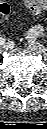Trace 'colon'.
I'll return each mask as SVG.
<instances>
[{
	"label": "colon",
	"mask_w": 47,
	"mask_h": 129,
	"mask_svg": "<svg viewBox=\"0 0 47 129\" xmlns=\"http://www.w3.org/2000/svg\"><path fill=\"white\" fill-rule=\"evenodd\" d=\"M25 5L32 11L34 15H39L47 8V0H24ZM10 8L8 4H0V13L4 19L8 18Z\"/></svg>",
	"instance_id": "obj_1"
}]
</instances>
